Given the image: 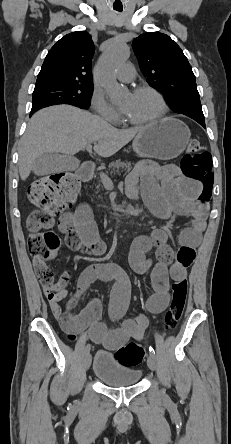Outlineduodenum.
I'll return each mask as SVG.
<instances>
[{
  "mask_svg": "<svg viewBox=\"0 0 231 444\" xmlns=\"http://www.w3.org/2000/svg\"><path fill=\"white\" fill-rule=\"evenodd\" d=\"M92 174H93V169H92V166L89 164H83L77 172L78 177L84 181L90 180L92 177ZM115 275H116L115 272L110 271V272H107L105 278L112 279L115 277Z\"/></svg>",
  "mask_w": 231,
  "mask_h": 444,
  "instance_id": "1",
  "label": "duodenum"
}]
</instances>
